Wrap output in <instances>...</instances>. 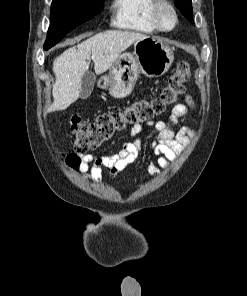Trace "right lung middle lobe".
<instances>
[{
    "label": "right lung middle lobe",
    "mask_w": 247,
    "mask_h": 296,
    "mask_svg": "<svg viewBox=\"0 0 247 296\" xmlns=\"http://www.w3.org/2000/svg\"><path fill=\"white\" fill-rule=\"evenodd\" d=\"M105 0H52L51 21L44 49L48 50L69 31L97 15Z\"/></svg>",
    "instance_id": "1"
}]
</instances>
